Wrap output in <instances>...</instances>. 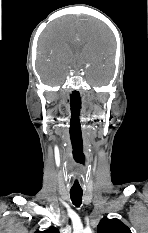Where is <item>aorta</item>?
<instances>
[{
	"mask_svg": "<svg viewBox=\"0 0 148 233\" xmlns=\"http://www.w3.org/2000/svg\"><path fill=\"white\" fill-rule=\"evenodd\" d=\"M80 233H92V231L90 229H83Z\"/></svg>",
	"mask_w": 148,
	"mask_h": 233,
	"instance_id": "762f6f07",
	"label": "aorta"
}]
</instances>
